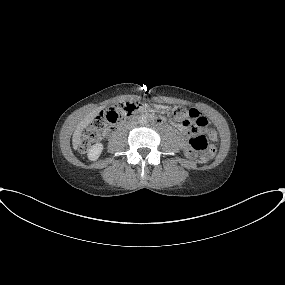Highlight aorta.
Segmentation results:
<instances>
[{"instance_id": "762f6f07", "label": "aorta", "mask_w": 285, "mask_h": 285, "mask_svg": "<svg viewBox=\"0 0 285 285\" xmlns=\"http://www.w3.org/2000/svg\"><path fill=\"white\" fill-rule=\"evenodd\" d=\"M138 122L140 124H146L147 123V117L145 115H141L139 118H138Z\"/></svg>"}]
</instances>
